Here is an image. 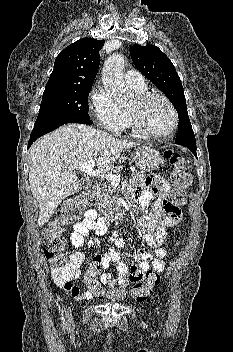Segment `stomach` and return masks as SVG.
Instances as JSON below:
<instances>
[{
  "mask_svg": "<svg viewBox=\"0 0 233 352\" xmlns=\"http://www.w3.org/2000/svg\"><path fill=\"white\" fill-rule=\"evenodd\" d=\"M133 160L141 170L151 171L160 165L162 157L157 150L151 147H141L133 153Z\"/></svg>",
  "mask_w": 233,
  "mask_h": 352,
  "instance_id": "obj_1",
  "label": "stomach"
}]
</instances>
